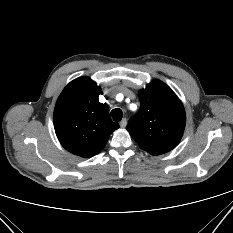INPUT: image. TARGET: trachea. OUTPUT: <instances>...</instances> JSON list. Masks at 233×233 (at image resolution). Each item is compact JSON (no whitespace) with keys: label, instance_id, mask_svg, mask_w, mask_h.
Wrapping results in <instances>:
<instances>
[{"label":"trachea","instance_id":"1","mask_svg":"<svg viewBox=\"0 0 233 233\" xmlns=\"http://www.w3.org/2000/svg\"><path fill=\"white\" fill-rule=\"evenodd\" d=\"M111 116H112V118H113V120L114 121H120L121 119H122V117H123V112H122V110L121 109H119V108H116V109H113L112 111H111Z\"/></svg>","mask_w":233,"mask_h":233}]
</instances>
